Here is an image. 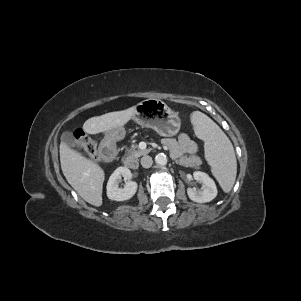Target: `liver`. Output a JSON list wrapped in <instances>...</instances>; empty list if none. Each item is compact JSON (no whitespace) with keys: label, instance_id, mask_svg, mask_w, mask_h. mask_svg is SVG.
I'll list each match as a JSON object with an SVG mask.
<instances>
[{"label":"liver","instance_id":"liver-1","mask_svg":"<svg viewBox=\"0 0 301 301\" xmlns=\"http://www.w3.org/2000/svg\"><path fill=\"white\" fill-rule=\"evenodd\" d=\"M135 113V107H131L123 111L92 117L85 121L83 129L89 134L117 132L133 118ZM60 163L66 180L78 195L93 206H101L105 178L103 169L64 142L60 144Z\"/></svg>","mask_w":301,"mask_h":301}]
</instances>
